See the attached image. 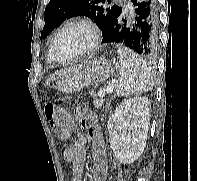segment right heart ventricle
Masks as SVG:
<instances>
[{"label":"right heart ventricle","mask_w":197,"mask_h":181,"mask_svg":"<svg viewBox=\"0 0 197 181\" xmlns=\"http://www.w3.org/2000/svg\"><path fill=\"white\" fill-rule=\"evenodd\" d=\"M47 60L51 63H54L55 60L53 58V55H52V43L50 44L49 46V49H48V52H47Z\"/></svg>","instance_id":"e07e8e85"}]
</instances>
